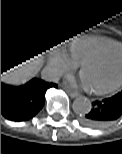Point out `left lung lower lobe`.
Masks as SVG:
<instances>
[{
  "mask_svg": "<svg viewBox=\"0 0 122 154\" xmlns=\"http://www.w3.org/2000/svg\"><path fill=\"white\" fill-rule=\"evenodd\" d=\"M91 111L80 118L81 123L89 128L108 127L122 116V91L111 98L94 101Z\"/></svg>",
  "mask_w": 122,
  "mask_h": 154,
  "instance_id": "1",
  "label": "left lung lower lobe"
}]
</instances>
